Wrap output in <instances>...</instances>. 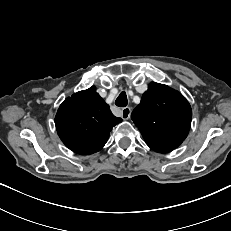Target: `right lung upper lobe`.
Segmentation results:
<instances>
[{
	"instance_id": "cb5924a9",
	"label": "right lung upper lobe",
	"mask_w": 231,
	"mask_h": 231,
	"mask_svg": "<svg viewBox=\"0 0 231 231\" xmlns=\"http://www.w3.org/2000/svg\"><path fill=\"white\" fill-rule=\"evenodd\" d=\"M121 121L112 114L95 87L65 99L55 117L60 139L70 150L81 155L101 150L109 132Z\"/></svg>"
}]
</instances>
